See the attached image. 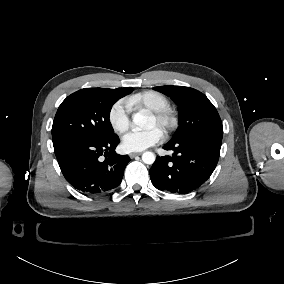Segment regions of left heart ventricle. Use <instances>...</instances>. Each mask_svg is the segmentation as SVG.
Wrapping results in <instances>:
<instances>
[{"mask_svg": "<svg viewBox=\"0 0 284 284\" xmlns=\"http://www.w3.org/2000/svg\"><path fill=\"white\" fill-rule=\"evenodd\" d=\"M154 126H156V123H155V119L153 117V119H152V127H154Z\"/></svg>", "mask_w": 284, "mask_h": 284, "instance_id": "obj_1", "label": "left heart ventricle"}]
</instances>
